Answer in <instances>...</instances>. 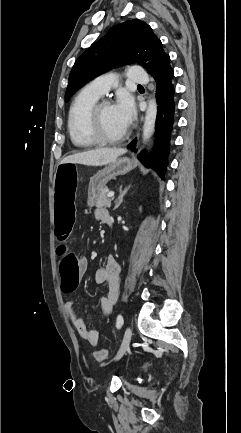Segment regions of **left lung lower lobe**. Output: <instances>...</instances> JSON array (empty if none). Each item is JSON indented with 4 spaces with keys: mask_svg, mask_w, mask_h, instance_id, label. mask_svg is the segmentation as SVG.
Listing matches in <instances>:
<instances>
[{
    "mask_svg": "<svg viewBox=\"0 0 241 433\" xmlns=\"http://www.w3.org/2000/svg\"><path fill=\"white\" fill-rule=\"evenodd\" d=\"M174 76L171 66L160 76L155 77L157 118L155 122L154 145L152 152L147 155L145 151L138 155L139 160L147 167L154 169L161 177H164L168 165L171 135L175 123V99ZM136 139L128 148L135 150Z\"/></svg>",
    "mask_w": 241,
    "mask_h": 433,
    "instance_id": "obj_1",
    "label": "left lung lower lobe"
}]
</instances>
